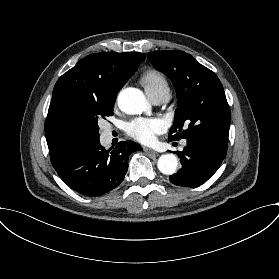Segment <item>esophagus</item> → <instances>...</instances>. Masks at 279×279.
<instances>
[{
	"label": "esophagus",
	"instance_id": "obj_1",
	"mask_svg": "<svg viewBox=\"0 0 279 279\" xmlns=\"http://www.w3.org/2000/svg\"><path fill=\"white\" fill-rule=\"evenodd\" d=\"M143 150L147 153V154H149V155H151L153 158H156V152H155V150H153L152 148H149V147H147V146H143Z\"/></svg>",
	"mask_w": 279,
	"mask_h": 279
}]
</instances>
